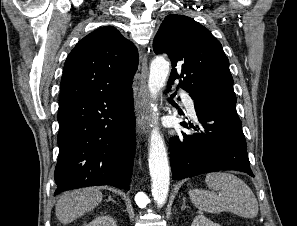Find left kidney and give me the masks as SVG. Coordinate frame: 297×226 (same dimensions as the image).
Listing matches in <instances>:
<instances>
[{
  "label": "left kidney",
  "instance_id": "obj_1",
  "mask_svg": "<svg viewBox=\"0 0 297 226\" xmlns=\"http://www.w3.org/2000/svg\"><path fill=\"white\" fill-rule=\"evenodd\" d=\"M191 226H221L218 223L211 221L210 219L206 218L204 215H197Z\"/></svg>",
  "mask_w": 297,
  "mask_h": 226
}]
</instances>
